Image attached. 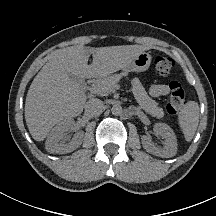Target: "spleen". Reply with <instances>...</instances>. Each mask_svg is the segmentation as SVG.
Segmentation results:
<instances>
[{"instance_id":"spleen-1","label":"spleen","mask_w":216,"mask_h":216,"mask_svg":"<svg viewBox=\"0 0 216 216\" xmlns=\"http://www.w3.org/2000/svg\"><path fill=\"white\" fill-rule=\"evenodd\" d=\"M199 123V105L190 101L178 115V124L182 130L185 140L191 141Z\"/></svg>"}]
</instances>
